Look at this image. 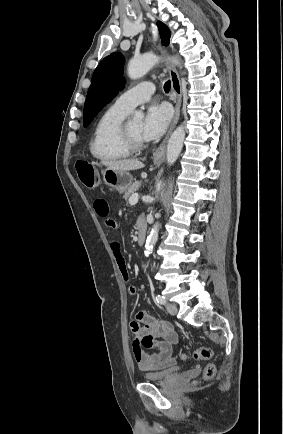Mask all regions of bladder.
Listing matches in <instances>:
<instances>
[{"label":"bladder","instance_id":"1","mask_svg":"<svg viewBox=\"0 0 283 434\" xmlns=\"http://www.w3.org/2000/svg\"><path fill=\"white\" fill-rule=\"evenodd\" d=\"M177 372V368H168L160 371H148L143 377L146 381H164L174 377Z\"/></svg>","mask_w":283,"mask_h":434}]
</instances>
